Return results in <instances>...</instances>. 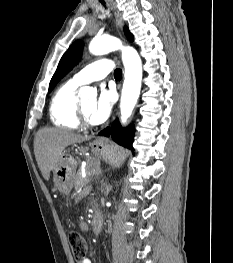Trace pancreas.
Returning a JSON list of instances; mask_svg holds the SVG:
<instances>
[{
	"mask_svg": "<svg viewBox=\"0 0 233 263\" xmlns=\"http://www.w3.org/2000/svg\"><path fill=\"white\" fill-rule=\"evenodd\" d=\"M88 182H89L88 175L86 176V178H84L81 172L77 174L74 180V185H75L76 190H81V188H83V190L80 192V196L87 194L89 190L91 189L90 186H86Z\"/></svg>",
	"mask_w": 233,
	"mask_h": 263,
	"instance_id": "1",
	"label": "pancreas"
}]
</instances>
